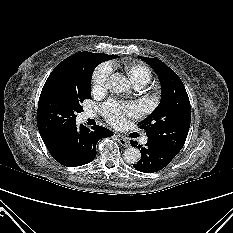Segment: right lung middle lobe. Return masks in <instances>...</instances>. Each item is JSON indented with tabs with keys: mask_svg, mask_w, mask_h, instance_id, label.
<instances>
[{
	"mask_svg": "<svg viewBox=\"0 0 233 233\" xmlns=\"http://www.w3.org/2000/svg\"><path fill=\"white\" fill-rule=\"evenodd\" d=\"M110 59L106 54L85 51L71 72H51L38 103L37 125L41 137L61 134L75 125L76 114L83 111L81 103L91 97L92 72Z\"/></svg>",
	"mask_w": 233,
	"mask_h": 233,
	"instance_id": "right-lung-middle-lobe-1",
	"label": "right lung middle lobe"
}]
</instances>
